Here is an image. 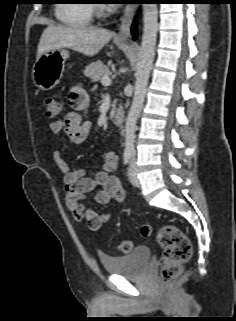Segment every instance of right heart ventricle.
I'll return each mask as SVG.
<instances>
[{
    "instance_id": "e07e8e85",
    "label": "right heart ventricle",
    "mask_w": 236,
    "mask_h": 321,
    "mask_svg": "<svg viewBox=\"0 0 236 321\" xmlns=\"http://www.w3.org/2000/svg\"><path fill=\"white\" fill-rule=\"evenodd\" d=\"M89 2L90 0H64L56 6V18L65 25H89L93 16V6Z\"/></svg>"
}]
</instances>
